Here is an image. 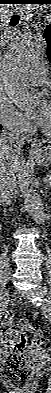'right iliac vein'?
Listing matches in <instances>:
<instances>
[{
    "instance_id": "right-iliac-vein-1",
    "label": "right iliac vein",
    "mask_w": 51,
    "mask_h": 393,
    "mask_svg": "<svg viewBox=\"0 0 51 393\" xmlns=\"http://www.w3.org/2000/svg\"><path fill=\"white\" fill-rule=\"evenodd\" d=\"M9 292L5 290L0 297V309L5 310L8 305Z\"/></svg>"
}]
</instances>
